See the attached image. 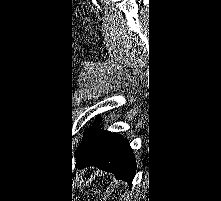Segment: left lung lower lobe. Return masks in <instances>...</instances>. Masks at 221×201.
Wrapping results in <instances>:
<instances>
[{
    "mask_svg": "<svg viewBox=\"0 0 221 201\" xmlns=\"http://www.w3.org/2000/svg\"><path fill=\"white\" fill-rule=\"evenodd\" d=\"M76 165L80 168L96 166L129 183L136 172L135 157L127 140L103 130H98L93 141L76 154Z\"/></svg>",
    "mask_w": 221,
    "mask_h": 201,
    "instance_id": "obj_1",
    "label": "left lung lower lobe"
}]
</instances>
